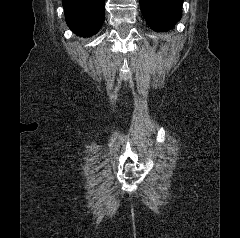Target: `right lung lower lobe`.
Listing matches in <instances>:
<instances>
[{"label":"right lung lower lobe","mask_w":240,"mask_h":238,"mask_svg":"<svg viewBox=\"0 0 240 238\" xmlns=\"http://www.w3.org/2000/svg\"><path fill=\"white\" fill-rule=\"evenodd\" d=\"M65 19L77 35L90 37L97 33L105 18V0H62Z\"/></svg>","instance_id":"obj_1"}]
</instances>
